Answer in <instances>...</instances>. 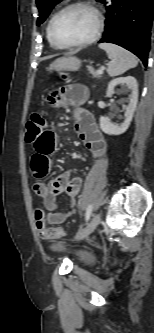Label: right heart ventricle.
Here are the masks:
<instances>
[{"label": "right heart ventricle", "instance_id": "e07e8e85", "mask_svg": "<svg viewBox=\"0 0 154 333\" xmlns=\"http://www.w3.org/2000/svg\"><path fill=\"white\" fill-rule=\"evenodd\" d=\"M48 25H49V23H48ZM48 25H47V28H46L47 39H48L49 43L51 44V46H53V47L56 48V46L54 45V43L52 42V40H51V38L49 36Z\"/></svg>", "mask_w": 154, "mask_h": 333}]
</instances>
